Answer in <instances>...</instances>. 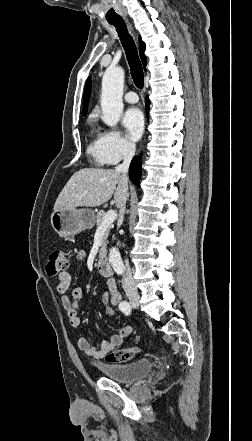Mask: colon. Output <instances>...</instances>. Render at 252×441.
Returning a JSON list of instances; mask_svg holds the SVG:
<instances>
[{
  "instance_id": "5ec220e1",
  "label": "colon",
  "mask_w": 252,
  "mask_h": 441,
  "mask_svg": "<svg viewBox=\"0 0 252 441\" xmlns=\"http://www.w3.org/2000/svg\"><path fill=\"white\" fill-rule=\"evenodd\" d=\"M68 265V259L66 254L59 249L53 250L49 255V260L46 264V272L48 275H56L62 272ZM101 314L106 318H111L114 316V306L104 305ZM139 354V349L136 347L128 349H119L109 352L105 356V360L109 363H124Z\"/></svg>"
}]
</instances>
